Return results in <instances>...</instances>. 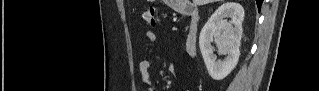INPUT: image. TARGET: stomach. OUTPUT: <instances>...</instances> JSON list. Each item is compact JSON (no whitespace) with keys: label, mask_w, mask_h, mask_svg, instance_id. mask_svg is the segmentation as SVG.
Instances as JSON below:
<instances>
[{"label":"stomach","mask_w":319,"mask_h":91,"mask_svg":"<svg viewBox=\"0 0 319 91\" xmlns=\"http://www.w3.org/2000/svg\"><path fill=\"white\" fill-rule=\"evenodd\" d=\"M169 2H176V1H174V0H170ZM172 5H175V3H171Z\"/></svg>","instance_id":"obj_1"}]
</instances>
